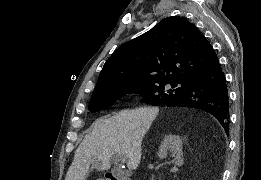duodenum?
Masks as SVG:
<instances>
[{
	"label": "duodenum",
	"instance_id": "1",
	"mask_svg": "<svg viewBox=\"0 0 261 180\" xmlns=\"http://www.w3.org/2000/svg\"><path fill=\"white\" fill-rule=\"evenodd\" d=\"M105 180H129V177H122V173H105Z\"/></svg>",
	"mask_w": 261,
	"mask_h": 180
}]
</instances>
